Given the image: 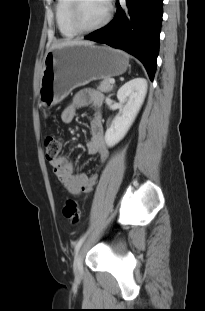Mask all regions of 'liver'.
<instances>
[{"label": "liver", "mask_w": 205, "mask_h": 311, "mask_svg": "<svg viewBox=\"0 0 205 311\" xmlns=\"http://www.w3.org/2000/svg\"><path fill=\"white\" fill-rule=\"evenodd\" d=\"M75 44L92 45L93 42L79 40V39H75V40L65 39L63 41H58V42L53 43L51 46V49L60 48V47L67 46V45H75Z\"/></svg>", "instance_id": "obj_1"}]
</instances>
